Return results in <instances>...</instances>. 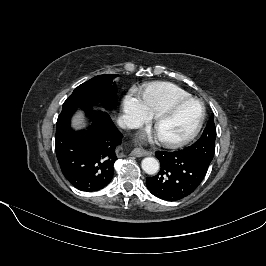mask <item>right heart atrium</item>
<instances>
[{
  "mask_svg": "<svg viewBox=\"0 0 266 266\" xmlns=\"http://www.w3.org/2000/svg\"><path fill=\"white\" fill-rule=\"evenodd\" d=\"M122 108L124 122L128 127H138L152 118L142 97L134 90L125 95Z\"/></svg>",
  "mask_w": 266,
  "mask_h": 266,
  "instance_id": "d8ad5b80",
  "label": "right heart atrium"
}]
</instances>
